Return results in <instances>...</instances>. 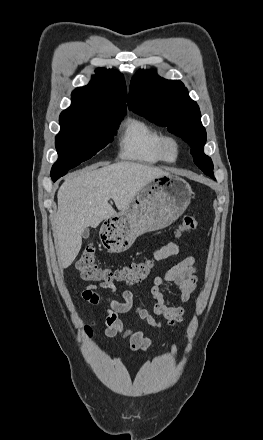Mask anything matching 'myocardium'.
Here are the masks:
<instances>
[{
    "instance_id": "myocardium-1",
    "label": "myocardium",
    "mask_w": 263,
    "mask_h": 440,
    "mask_svg": "<svg viewBox=\"0 0 263 440\" xmlns=\"http://www.w3.org/2000/svg\"><path fill=\"white\" fill-rule=\"evenodd\" d=\"M172 146L174 149V155H169L168 149ZM159 150L162 158L167 162H175L181 154V142L180 140L171 134L162 135L159 141Z\"/></svg>"
}]
</instances>
